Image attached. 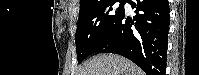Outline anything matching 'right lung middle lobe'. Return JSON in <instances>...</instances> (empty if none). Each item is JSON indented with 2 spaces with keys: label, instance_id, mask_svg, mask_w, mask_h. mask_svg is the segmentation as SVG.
<instances>
[{
  "label": "right lung middle lobe",
  "instance_id": "right-lung-middle-lobe-1",
  "mask_svg": "<svg viewBox=\"0 0 199 75\" xmlns=\"http://www.w3.org/2000/svg\"><path fill=\"white\" fill-rule=\"evenodd\" d=\"M126 0H107L79 14L75 43L78 63L94 54L116 28Z\"/></svg>",
  "mask_w": 199,
  "mask_h": 75
}]
</instances>
